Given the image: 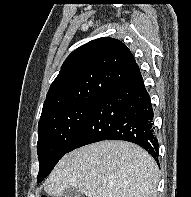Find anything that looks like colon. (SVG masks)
Instances as JSON below:
<instances>
[{"label": "colon", "instance_id": "5ec220e1", "mask_svg": "<svg viewBox=\"0 0 191 197\" xmlns=\"http://www.w3.org/2000/svg\"><path fill=\"white\" fill-rule=\"evenodd\" d=\"M41 197H48V196H46V195H42Z\"/></svg>", "mask_w": 191, "mask_h": 197}]
</instances>
